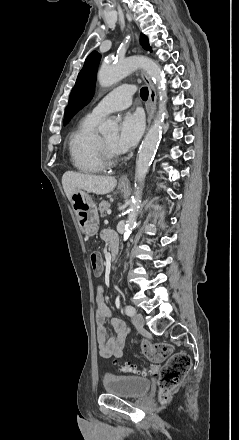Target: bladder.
<instances>
[{"label":"bladder","instance_id":"bladder-1","mask_svg":"<svg viewBox=\"0 0 239 440\" xmlns=\"http://www.w3.org/2000/svg\"><path fill=\"white\" fill-rule=\"evenodd\" d=\"M106 393L123 398H138L144 396L151 387V381L141 376H125L106 373L102 378Z\"/></svg>","mask_w":239,"mask_h":440}]
</instances>
